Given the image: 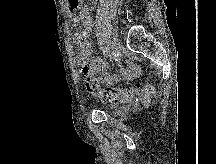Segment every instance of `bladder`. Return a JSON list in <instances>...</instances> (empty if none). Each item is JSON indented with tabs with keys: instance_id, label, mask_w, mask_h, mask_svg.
<instances>
[{
	"instance_id": "obj_1",
	"label": "bladder",
	"mask_w": 216,
	"mask_h": 164,
	"mask_svg": "<svg viewBox=\"0 0 216 164\" xmlns=\"http://www.w3.org/2000/svg\"><path fill=\"white\" fill-rule=\"evenodd\" d=\"M127 111H128L127 107H122L116 110V112L119 114L126 113Z\"/></svg>"
}]
</instances>
